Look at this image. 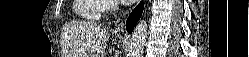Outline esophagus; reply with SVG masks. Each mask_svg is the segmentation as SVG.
<instances>
[{
	"label": "esophagus",
	"instance_id": "esophagus-1",
	"mask_svg": "<svg viewBox=\"0 0 249 57\" xmlns=\"http://www.w3.org/2000/svg\"><path fill=\"white\" fill-rule=\"evenodd\" d=\"M122 30L123 29V23L119 24L118 27H117V30Z\"/></svg>",
	"mask_w": 249,
	"mask_h": 57
}]
</instances>
